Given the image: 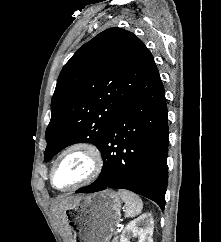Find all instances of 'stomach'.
Segmentation results:
<instances>
[{
  "mask_svg": "<svg viewBox=\"0 0 221 242\" xmlns=\"http://www.w3.org/2000/svg\"><path fill=\"white\" fill-rule=\"evenodd\" d=\"M121 199L111 190L75 198L65 209L69 242H109L121 218Z\"/></svg>",
  "mask_w": 221,
  "mask_h": 242,
  "instance_id": "1",
  "label": "stomach"
}]
</instances>
